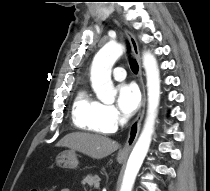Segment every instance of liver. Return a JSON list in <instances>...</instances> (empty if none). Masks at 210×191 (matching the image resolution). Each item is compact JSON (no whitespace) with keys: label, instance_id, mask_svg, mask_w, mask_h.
Listing matches in <instances>:
<instances>
[{"label":"liver","instance_id":"liver-1","mask_svg":"<svg viewBox=\"0 0 210 191\" xmlns=\"http://www.w3.org/2000/svg\"><path fill=\"white\" fill-rule=\"evenodd\" d=\"M56 146L67 147L95 159H102L119 148V144L108 137L83 132L67 134Z\"/></svg>","mask_w":210,"mask_h":191}]
</instances>
